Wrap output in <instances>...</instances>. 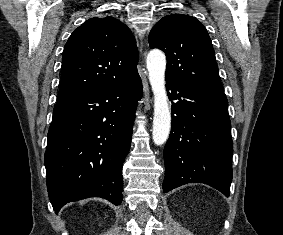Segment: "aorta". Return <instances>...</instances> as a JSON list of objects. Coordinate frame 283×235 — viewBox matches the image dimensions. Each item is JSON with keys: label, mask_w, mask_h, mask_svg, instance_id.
Wrapping results in <instances>:
<instances>
[{"label": "aorta", "mask_w": 283, "mask_h": 235, "mask_svg": "<svg viewBox=\"0 0 283 235\" xmlns=\"http://www.w3.org/2000/svg\"><path fill=\"white\" fill-rule=\"evenodd\" d=\"M147 70L154 95L153 141L156 145L164 144L170 133L171 112L165 88V54L154 49L147 55Z\"/></svg>", "instance_id": "obj_1"}]
</instances>
